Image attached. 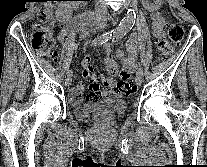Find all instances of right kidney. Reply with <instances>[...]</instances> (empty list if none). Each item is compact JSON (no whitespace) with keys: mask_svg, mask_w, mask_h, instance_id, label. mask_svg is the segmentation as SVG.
I'll return each mask as SVG.
<instances>
[{"mask_svg":"<svg viewBox=\"0 0 207 167\" xmlns=\"http://www.w3.org/2000/svg\"><path fill=\"white\" fill-rule=\"evenodd\" d=\"M67 11H66V6H65V2H61L58 5V8L56 10V16L58 18H63L66 15Z\"/></svg>","mask_w":207,"mask_h":167,"instance_id":"obj_1","label":"right kidney"}]
</instances>
